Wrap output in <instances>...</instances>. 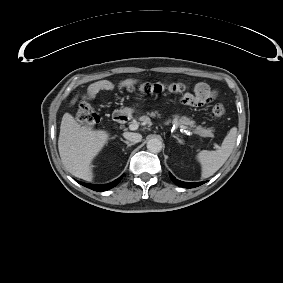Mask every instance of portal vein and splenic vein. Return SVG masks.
Masks as SVG:
<instances>
[{
	"label": "portal vein and splenic vein",
	"instance_id": "portal-vein-and-splenic-vein-1",
	"mask_svg": "<svg viewBox=\"0 0 283 283\" xmlns=\"http://www.w3.org/2000/svg\"><path fill=\"white\" fill-rule=\"evenodd\" d=\"M137 127V125H135V122H133L131 125H130V128L132 129V128H134V127Z\"/></svg>",
	"mask_w": 283,
	"mask_h": 283
}]
</instances>
